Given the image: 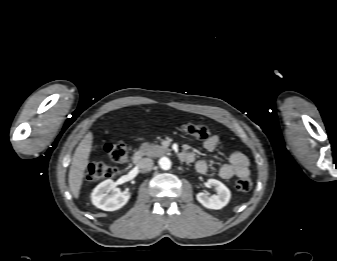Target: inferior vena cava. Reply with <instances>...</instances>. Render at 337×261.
<instances>
[{"instance_id":"1","label":"inferior vena cava","mask_w":337,"mask_h":261,"mask_svg":"<svg viewBox=\"0 0 337 261\" xmlns=\"http://www.w3.org/2000/svg\"><path fill=\"white\" fill-rule=\"evenodd\" d=\"M153 160L150 158H143L137 163V167L141 172H147L153 167Z\"/></svg>"}]
</instances>
